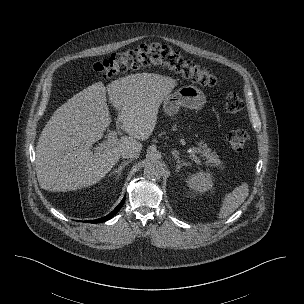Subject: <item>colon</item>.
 <instances>
[{"label": "colon", "instance_id": "1", "mask_svg": "<svg viewBox=\"0 0 304 304\" xmlns=\"http://www.w3.org/2000/svg\"><path fill=\"white\" fill-rule=\"evenodd\" d=\"M150 65L166 67L202 86L211 87L219 82L212 69L201 67L171 48L158 43L141 44L123 53L113 54L94 64L92 71L100 78L109 79L120 73ZM224 108L229 114L239 113L244 108V101L238 94L229 93L225 98ZM226 140L234 153H241L247 144L248 134L244 129L237 128L227 134Z\"/></svg>", "mask_w": 304, "mask_h": 304}]
</instances>
